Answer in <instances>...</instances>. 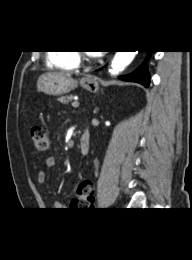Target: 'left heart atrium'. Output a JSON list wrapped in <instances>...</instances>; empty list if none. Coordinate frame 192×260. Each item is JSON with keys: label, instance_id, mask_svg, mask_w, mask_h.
Masks as SVG:
<instances>
[{"label": "left heart atrium", "instance_id": "obj_1", "mask_svg": "<svg viewBox=\"0 0 192 260\" xmlns=\"http://www.w3.org/2000/svg\"><path fill=\"white\" fill-rule=\"evenodd\" d=\"M94 54H95V55H98V54H100V52H94Z\"/></svg>", "mask_w": 192, "mask_h": 260}]
</instances>
